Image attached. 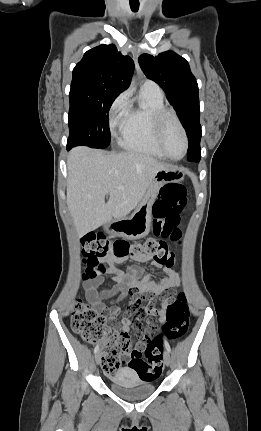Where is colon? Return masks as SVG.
Wrapping results in <instances>:
<instances>
[{"instance_id": "1", "label": "colon", "mask_w": 261, "mask_h": 431, "mask_svg": "<svg viewBox=\"0 0 261 431\" xmlns=\"http://www.w3.org/2000/svg\"><path fill=\"white\" fill-rule=\"evenodd\" d=\"M186 203L187 193L184 186L166 183L160 188L159 197L153 206L152 230L154 235L162 240L149 238L144 242L130 243L125 239L110 240L103 234L84 236L81 244L83 262L87 269L92 274L103 273L105 265L101 261L104 259L121 262L144 256L152 257L160 264L173 265L174 256L163 239L174 242L180 240V213ZM162 301L166 303V319L161 322L160 332L169 340L175 341L184 336L188 328L190 310L187 299L184 293L175 296L169 289L163 293ZM71 326L74 332L89 344L102 341V368L106 373H114L125 357L126 367L135 370L140 383L161 381L162 356L158 337L148 344L144 360L142 353L132 348L127 333L112 330L107 319L89 308L81 299H77L73 304Z\"/></svg>"}]
</instances>
